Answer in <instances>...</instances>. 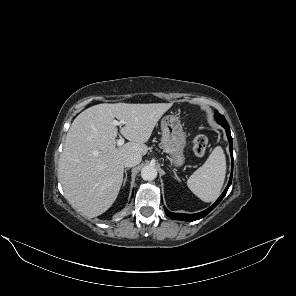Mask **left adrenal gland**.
I'll list each match as a JSON object with an SVG mask.
<instances>
[{"instance_id": "a2214340", "label": "left adrenal gland", "mask_w": 296, "mask_h": 296, "mask_svg": "<svg viewBox=\"0 0 296 296\" xmlns=\"http://www.w3.org/2000/svg\"><path fill=\"white\" fill-rule=\"evenodd\" d=\"M174 172V176H175V178L178 180V181H180V178L178 177V175L176 174V172L175 171H173Z\"/></svg>"}]
</instances>
